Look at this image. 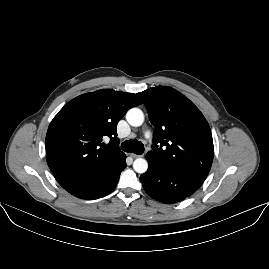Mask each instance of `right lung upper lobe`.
<instances>
[{
  "instance_id": "cb5924a9",
  "label": "right lung upper lobe",
  "mask_w": 269,
  "mask_h": 269,
  "mask_svg": "<svg viewBox=\"0 0 269 269\" xmlns=\"http://www.w3.org/2000/svg\"><path fill=\"white\" fill-rule=\"evenodd\" d=\"M141 104L135 94L102 89L69 101L53 118L46 135V159L57 174L123 153L118 147L117 123L128 109ZM110 137L109 144L102 143Z\"/></svg>"
}]
</instances>
